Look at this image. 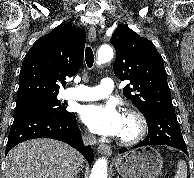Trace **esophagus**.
I'll return each instance as SVG.
<instances>
[{
    "label": "esophagus",
    "mask_w": 194,
    "mask_h": 178,
    "mask_svg": "<svg viewBox=\"0 0 194 178\" xmlns=\"http://www.w3.org/2000/svg\"><path fill=\"white\" fill-rule=\"evenodd\" d=\"M88 38L90 41H95L96 40V28L94 26H91L90 29H89V33H88ZM98 152L100 154H103V155H111L112 154V149L110 146L106 145V144H101L99 145L98 147Z\"/></svg>",
    "instance_id": "1"
}]
</instances>
